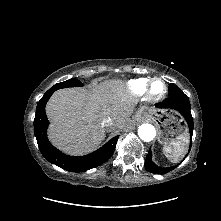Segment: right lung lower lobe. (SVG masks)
<instances>
[{"instance_id":"98d812e1","label":"right lung lower lobe","mask_w":221,"mask_h":221,"mask_svg":"<svg viewBox=\"0 0 221 221\" xmlns=\"http://www.w3.org/2000/svg\"><path fill=\"white\" fill-rule=\"evenodd\" d=\"M52 94L53 91H47L40 99L36 107L34 119V134L44 158L52 164L71 172H84L107 161L114 153L118 136L109 140L103 147L93 153L80 157L65 155L51 145L47 138L49 122L45 113V106Z\"/></svg>"}]
</instances>
